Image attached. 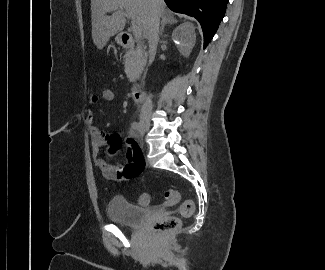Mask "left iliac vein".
Masks as SVG:
<instances>
[{"mask_svg":"<svg viewBox=\"0 0 325 270\" xmlns=\"http://www.w3.org/2000/svg\"><path fill=\"white\" fill-rule=\"evenodd\" d=\"M144 134V132L142 130H140V135L142 136Z\"/></svg>","mask_w":325,"mask_h":270,"instance_id":"4c4485c4","label":"left iliac vein"}]
</instances>
